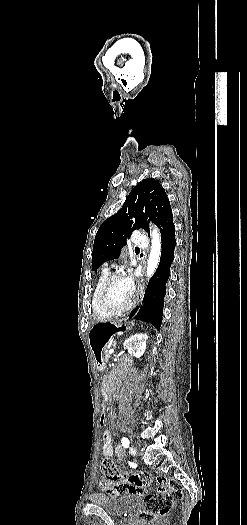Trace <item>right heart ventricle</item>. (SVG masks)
Listing matches in <instances>:
<instances>
[{
  "label": "right heart ventricle",
  "mask_w": 247,
  "mask_h": 525,
  "mask_svg": "<svg viewBox=\"0 0 247 525\" xmlns=\"http://www.w3.org/2000/svg\"><path fill=\"white\" fill-rule=\"evenodd\" d=\"M108 271L104 268L97 280L96 287L91 295V305H92V312L93 317H112L109 313H106L100 308V299L98 298L96 294V288L97 286L108 276ZM132 288H130L131 292Z\"/></svg>",
  "instance_id": "right-heart-ventricle-1"
}]
</instances>
